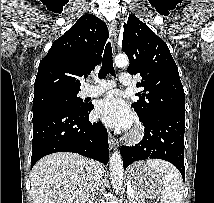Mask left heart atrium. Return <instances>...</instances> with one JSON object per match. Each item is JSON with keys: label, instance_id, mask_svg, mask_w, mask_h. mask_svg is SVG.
Wrapping results in <instances>:
<instances>
[{"label": "left heart atrium", "instance_id": "obj_1", "mask_svg": "<svg viewBox=\"0 0 214 203\" xmlns=\"http://www.w3.org/2000/svg\"><path fill=\"white\" fill-rule=\"evenodd\" d=\"M96 114L107 125L118 129L130 128L135 120L118 91L109 93L98 103Z\"/></svg>", "mask_w": 214, "mask_h": 203}]
</instances>
